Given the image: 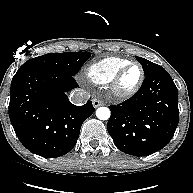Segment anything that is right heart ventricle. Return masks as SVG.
<instances>
[{
    "label": "right heart ventricle",
    "instance_id": "1",
    "mask_svg": "<svg viewBox=\"0 0 193 193\" xmlns=\"http://www.w3.org/2000/svg\"><path fill=\"white\" fill-rule=\"evenodd\" d=\"M128 59L121 57H106L90 63L85 69V77L96 85H105L111 82L114 75L125 65Z\"/></svg>",
    "mask_w": 193,
    "mask_h": 193
}]
</instances>
